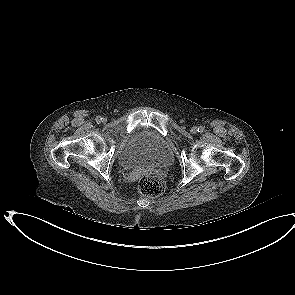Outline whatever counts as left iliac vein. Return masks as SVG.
<instances>
[{
    "label": "left iliac vein",
    "instance_id": "4c4485c4",
    "mask_svg": "<svg viewBox=\"0 0 295 295\" xmlns=\"http://www.w3.org/2000/svg\"><path fill=\"white\" fill-rule=\"evenodd\" d=\"M197 132V128L196 127H192L191 128V133H196Z\"/></svg>",
    "mask_w": 295,
    "mask_h": 295
}]
</instances>
